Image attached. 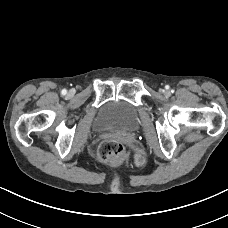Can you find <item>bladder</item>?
<instances>
[{"instance_id": "1", "label": "bladder", "mask_w": 228, "mask_h": 228, "mask_svg": "<svg viewBox=\"0 0 228 228\" xmlns=\"http://www.w3.org/2000/svg\"><path fill=\"white\" fill-rule=\"evenodd\" d=\"M140 122L138 107L124 100L106 102L98 111L94 121L97 130L130 131Z\"/></svg>"}]
</instances>
